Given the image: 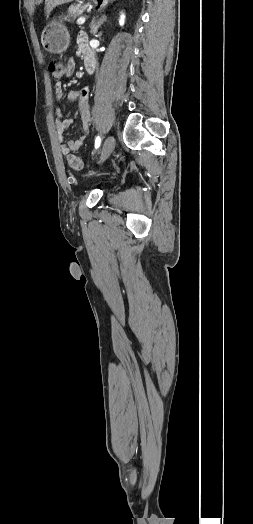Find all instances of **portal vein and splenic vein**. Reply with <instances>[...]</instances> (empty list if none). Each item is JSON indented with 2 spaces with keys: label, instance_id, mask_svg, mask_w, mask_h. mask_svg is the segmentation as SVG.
<instances>
[{
  "label": "portal vein and splenic vein",
  "instance_id": "1",
  "mask_svg": "<svg viewBox=\"0 0 253 524\" xmlns=\"http://www.w3.org/2000/svg\"><path fill=\"white\" fill-rule=\"evenodd\" d=\"M84 23H85V18L84 17H80V18L77 19V24L78 25H82Z\"/></svg>",
  "mask_w": 253,
  "mask_h": 524
}]
</instances>
